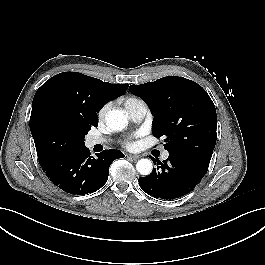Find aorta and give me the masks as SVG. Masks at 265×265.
Here are the masks:
<instances>
[{
	"instance_id": "aorta-1",
	"label": "aorta",
	"mask_w": 265,
	"mask_h": 265,
	"mask_svg": "<svg viewBox=\"0 0 265 265\" xmlns=\"http://www.w3.org/2000/svg\"><path fill=\"white\" fill-rule=\"evenodd\" d=\"M107 126L114 131H121L128 125L126 114L120 110H112L106 115ZM136 169L141 175H149L153 165L150 159H140L136 164Z\"/></svg>"
}]
</instances>
